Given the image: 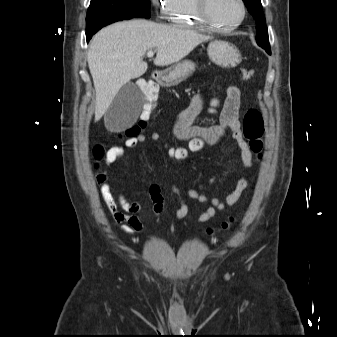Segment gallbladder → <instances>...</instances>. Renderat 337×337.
I'll return each mask as SVG.
<instances>
[{
	"label": "gallbladder",
	"instance_id": "1",
	"mask_svg": "<svg viewBox=\"0 0 337 337\" xmlns=\"http://www.w3.org/2000/svg\"><path fill=\"white\" fill-rule=\"evenodd\" d=\"M143 105L141 91L133 83L119 90L105 113V125L111 131H121L137 120Z\"/></svg>",
	"mask_w": 337,
	"mask_h": 337
}]
</instances>
